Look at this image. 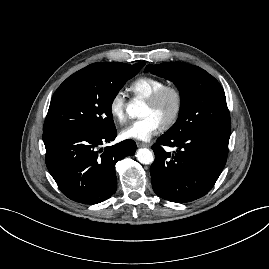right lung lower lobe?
Returning a JSON list of instances; mask_svg holds the SVG:
<instances>
[{"instance_id": "obj_1", "label": "right lung lower lobe", "mask_w": 269, "mask_h": 269, "mask_svg": "<svg viewBox=\"0 0 269 269\" xmlns=\"http://www.w3.org/2000/svg\"><path fill=\"white\" fill-rule=\"evenodd\" d=\"M116 135V129L102 134L76 128L43 132L47 168L66 197L91 205L116 192L115 164L136 150V143L129 139L101 148Z\"/></svg>"}]
</instances>
